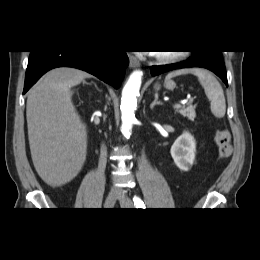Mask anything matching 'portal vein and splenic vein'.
I'll return each mask as SVG.
<instances>
[{
    "instance_id": "18ae733b",
    "label": "portal vein and splenic vein",
    "mask_w": 260,
    "mask_h": 260,
    "mask_svg": "<svg viewBox=\"0 0 260 260\" xmlns=\"http://www.w3.org/2000/svg\"><path fill=\"white\" fill-rule=\"evenodd\" d=\"M180 106H181V105L178 104V103L174 104V107H180Z\"/></svg>"
}]
</instances>
